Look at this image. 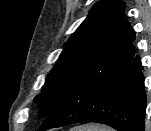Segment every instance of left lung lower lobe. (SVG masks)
Returning <instances> with one entry per match:
<instances>
[{
	"label": "left lung lower lobe",
	"mask_w": 151,
	"mask_h": 131,
	"mask_svg": "<svg viewBox=\"0 0 151 131\" xmlns=\"http://www.w3.org/2000/svg\"><path fill=\"white\" fill-rule=\"evenodd\" d=\"M139 57L110 69L93 68L67 92L37 131L82 122L118 131H145L146 94Z\"/></svg>",
	"instance_id": "obj_1"
}]
</instances>
